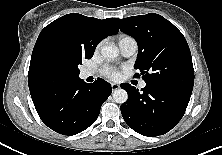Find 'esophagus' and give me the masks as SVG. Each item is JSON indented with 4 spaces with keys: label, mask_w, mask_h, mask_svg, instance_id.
I'll return each mask as SVG.
<instances>
[{
    "label": "esophagus",
    "mask_w": 222,
    "mask_h": 155,
    "mask_svg": "<svg viewBox=\"0 0 222 155\" xmlns=\"http://www.w3.org/2000/svg\"><path fill=\"white\" fill-rule=\"evenodd\" d=\"M111 88H112L113 91H115V90H117V89L120 88V85H119V84H116V83H112V84H111Z\"/></svg>",
    "instance_id": "1"
}]
</instances>
